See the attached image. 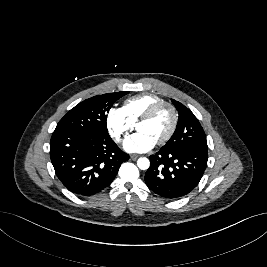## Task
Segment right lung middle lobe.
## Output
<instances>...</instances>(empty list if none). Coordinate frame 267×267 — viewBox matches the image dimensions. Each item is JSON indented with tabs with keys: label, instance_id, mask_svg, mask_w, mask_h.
Masks as SVG:
<instances>
[{
	"label": "right lung middle lobe",
	"instance_id": "dd1d6c3e",
	"mask_svg": "<svg viewBox=\"0 0 267 267\" xmlns=\"http://www.w3.org/2000/svg\"><path fill=\"white\" fill-rule=\"evenodd\" d=\"M127 93H107L82 101L59 121L55 131L108 134L107 113L112 105Z\"/></svg>",
	"mask_w": 267,
	"mask_h": 267
}]
</instances>
